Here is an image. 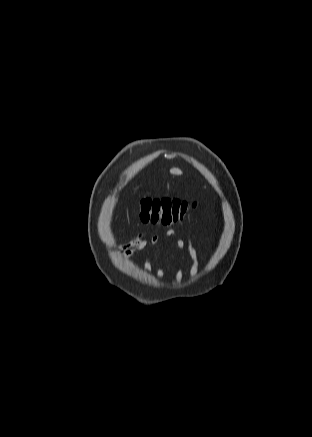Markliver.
Returning <instances> with one entry per match:
<instances>
[{"label":"liver","instance_id":"1","mask_svg":"<svg viewBox=\"0 0 312 437\" xmlns=\"http://www.w3.org/2000/svg\"><path fill=\"white\" fill-rule=\"evenodd\" d=\"M170 172H171L172 174H176V175H180V174H182V171L179 170V169H177V168H173V169H171Z\"/></svg>","mask_w":312,"mask_h":437}]
</instances>
